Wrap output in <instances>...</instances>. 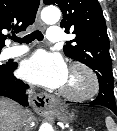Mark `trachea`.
<instances>
[{
	"instance_id": "1",
	"label": "trachea",
	"mask_w": 117,
	"mask_h": 131,
	"mask_svg": "<svg viewBox=\"0 0 117 131\" xmlns=\"http://www.w3.org/2000/svg\"><path fill=\"white\" fill-rule=\"evenodd\" d=\"M43 38H44V36H43L42 32L39 30H35L32 33H30L29 35L24 36L23 38H19L17 36H11V40L21 43V44L22 43H24V44L31 43L35 39L41 41V40H43Z\"/></svg>"
}]
</instances>
